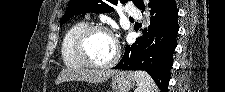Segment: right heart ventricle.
<instances>
[{
  "mask_svg": "<svg viewBox=\"0 0 225 92\" xmlns=\"http://www.w3.org/2000/svg\"><path fill=\"white\" fill-rule=\"evenodd\" d=\"M87 26L88 22L86 20H80L66 29L61 42V58L66 66L76 69L83 68L74 52L73 44L77 35Z\"/></svg>",
  "mask_w": 225,
  "mask_h": 92,
  "instance_id": "e07e8e85",
  "label": "right heart ventricle"
}]
</instances>
